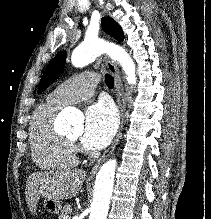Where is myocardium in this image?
Wrapping results in <instances>:
<instances>
[{"instance_id": "obj_1", "label": "myocardium", "mask_w": 211, "mask_h": 219, "mask_svg": "<svg viewBox=\"0 0 211 219\" xmlns=\"http://www.w3.org/2000/svg\"><path fill=\"white\" fill-rule=\"evenodd\" d=\"M66 140L68 141V143L70 144V146L75 150L77 147V142L75 139H72L70 137H65Z\"/></svg>"}]
</instances>
